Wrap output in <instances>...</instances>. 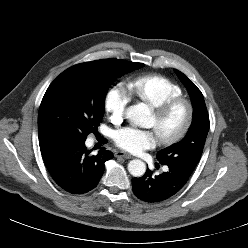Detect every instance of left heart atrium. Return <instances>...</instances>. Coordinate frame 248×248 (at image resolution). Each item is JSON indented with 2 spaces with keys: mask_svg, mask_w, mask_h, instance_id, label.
<instances>
[{
  "mask_svg": "<svg viewBox=\"0 0 248 248\" xmlns=\"http://www.w3.org/2000/svg\"><path fill=\"white\" fill-rule=\"evenodd\" d=\"M159 138L155 130H143L135 127H125L115 135L116 144L132 153H139L145 149L153 148Z\"/></svg>",
  "mask_w": 248,
  "mask_h": 248,
  "instance_id": "39dd6f15",
  "label": "left heart atrium"
}]
</instances>
